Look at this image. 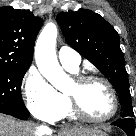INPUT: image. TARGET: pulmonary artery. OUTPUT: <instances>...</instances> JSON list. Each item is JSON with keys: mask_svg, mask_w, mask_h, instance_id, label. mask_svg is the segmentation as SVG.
Here are the masks:
<instances>
[{"mask_svg": "<svg viewBox=\"0 0 136 136\" xmlns=\"http://www.w3.org/2000/svg\"><path fill=\"white\" fill-rule=\"evenodd\" d=\"M58 59L68 70L77 71L81 62L80 55L70 47L63 46L58 51Z\"/></svg>", "mask_w": 136, "mask_h": 136, "instance_id": "pulmonary-artery-1", "label": "pulmonary artery"}]
</instances>
